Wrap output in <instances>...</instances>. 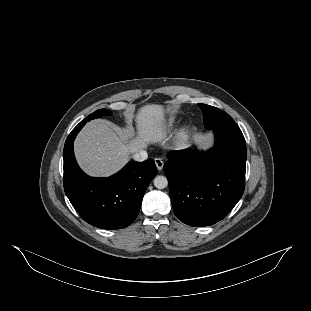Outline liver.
Listing matches in <instances>:
<instances>
[{"instance_id":"1","label":"liver","mask_w":311,"mask_h":311,"mask_svg":"<svg viewBox=\"0 0 311 311\" xmlns=\"http://www.w3.org/2000/svg\"><path fill=\"white\" fill-rule=\"evenodd\" d=\"M128 128L96 119L88 122L79 132L74 143L78 164L90 176L108 177L119 171L129 160L130 154L146 149L148 144L161 142L164 131V107L147 104L137 114L125 113ZM135 118L137 136L129 141L131 123Z\"/></svg>"}]
</instances>
